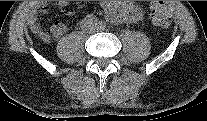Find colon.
<instances>
[{"label":"colon","instance_id":"1","mask_svg":"<svg viewBox=\"0 0 207 121\" xmlns=\"http://www.w3.org/2000/svg\"><path fill=\"white\" fill-rule=\"evenodd\" d=\"M150 19L160 27H168L171 22V12L168 4L164 1H154L150 5Z\"/></svg>","mask_w":207,"mask_h":121}]
</instances>
